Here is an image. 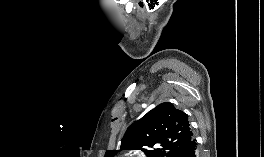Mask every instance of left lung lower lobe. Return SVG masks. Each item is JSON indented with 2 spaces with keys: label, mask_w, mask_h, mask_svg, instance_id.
Instances as JSON below:
<instances>
[{
  "label": "left lung lower lobe",
  "mask_w": 264,
  "mask_h": 157,
  "mask_svg": "<svg viewBox=\"0 0 264 157\" xmlns=\"http://www.w3.org/2000/svg\"><path fill=\"white\" fill-rule=\"evenodd\" d=\"M184 157H199L197 152V143L194 139L186 147Z\"/></svg>",
  "instance_id": "0a47b994"
}]
</instances>
